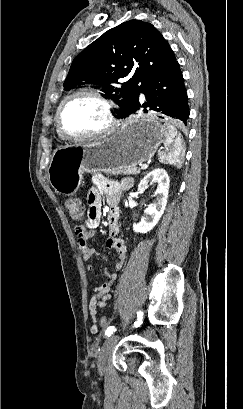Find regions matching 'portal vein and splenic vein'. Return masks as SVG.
Instances as JSON below:
<instances>
[{
	"mask_svg": "<svg viewBox=\"0 0 243 409\" xmlns=\"http://www.w3.org/2000/svg\"><path fill=\"white\" fill-rule=\"evenodd\" d=\"M141 168H142V169L148 168V164H143V165H141Z\"/></svg>",
	"mask_w": 243,
	"mask_h": 409,
	"instance_id": "1",
	"label": "portal vein and splenic vein"
}]
</instances>
